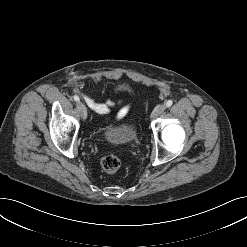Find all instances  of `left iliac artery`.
Here are the masks:
<instances>
[{"instance_id":"1","label":"left iliac artery","mask_w":247,"mask_h":247,"mask_svg":"<svg viewBox=\"0 0 247 247\" xmlns=\"http://www.w3.org/2000/svg\"><path fill=\"white\" fill-rule=\"evenodd\" d=\"M172 104H173V101L172 100H168L166 102V107H170Z\"/></svg>"}]
</instances>
